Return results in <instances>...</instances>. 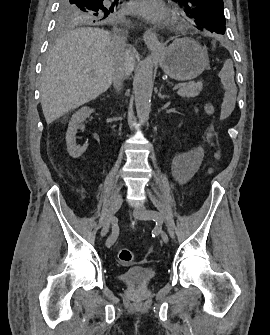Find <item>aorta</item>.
I'll return each instance as SVG.
<instances>
[{"label": "aorta", "instance_id": "1", "mask_svg": "<svg viewBox=\"0 0 270 335\" xmlns=\"http://www.w3.org/2000/svg\"><path fill=\"white\" fill-rule=\"evenodd\" d=\"M153 88V62L152 56L143 60L137 74L134 86L135 106L138 118L147 122L151 108Z\"/></svg>", "mask_w": 270, "mask_h": 335}]
</instances>
